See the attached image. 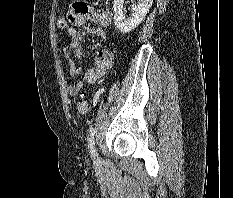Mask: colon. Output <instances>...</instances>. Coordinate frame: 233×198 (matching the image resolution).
<instances>
[{
	"label": "colon",
	"instance_id": "1",
	"mask_svg": "<svg viewBox=\"0 0 233 198\" xmlns=\"http://www.w3.org/2000/svg\"><path fill=\"white\" fill-rule=\"evenodd\" d=\"M57 26L59 29L64 30L68 26V21L64 17H60L57 21ZM76 109L81 114H86L89 111V103L83 93L77 101Z\"/></svg>",
	"mask_w": 233,
	"mask_h": 198
}]
</instances>
